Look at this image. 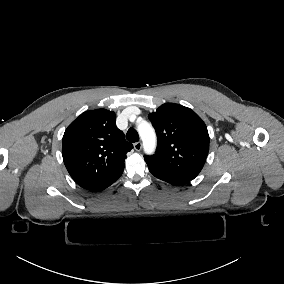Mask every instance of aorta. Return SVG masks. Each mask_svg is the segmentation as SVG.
Returning a JSON list of instances; mask_svg holds the SVG:
<instances>
[{"mask_svg":"<svg viewBox=\"0 0 284 284\" xmlns=\"http://www.w3.org/2000/svg\"><path fill=\"white\" fill-rule=\"evenodd\" d=\"M137 128L138 133L143 141L145 153L152 154L156 147V134L152 125L147 121H141Z\"/></svg>","mask_w":284,"mask_h":284,"instance_id":"obj_1","label":"aorta"}]
</instances>
